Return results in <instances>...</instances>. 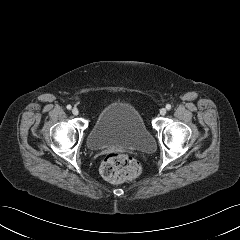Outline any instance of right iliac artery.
<instances>
[{
	"instance_id": "1",
	"label": "right iliac artery",
	"mask_w": 240,
	"mask_h": 240,
	"mask_svg": "<svg viewBox=\"0 0 240 240\" xmlns=\"http://www.w3.org/2000/svg\"><path fill=\"white\" fill-rule=\"evenodd\" d=\"M68 110H71L72 106L71 105H67L66 107Z\"/></svg>"
}]
</instances>
